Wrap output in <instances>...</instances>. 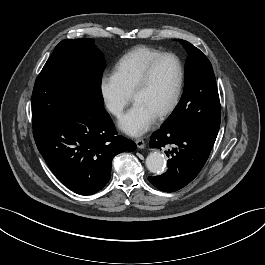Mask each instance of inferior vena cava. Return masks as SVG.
I'll list each match as a JSON object with an SVG mask.
<instances>
[{
    "mask_svg": "<svg viewBox=\"0 0 265 265\" xmlns=\"http://www.w3.org/2000/svg\"><path fill=\"white\" fill-rule=\"evenodd\" d=\"M108 109H109V111L110 112H112L113 114H119L120 112H121V108L119 107V106H117V105H109L108 106Z\"/></svg>",
    "mask_w": 265,
    "mask_h": 265,
    "instance_id": "inferior-vena-cava-1",
    "label": "inferior vena cava"
}]
</instances>
